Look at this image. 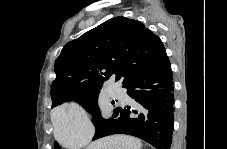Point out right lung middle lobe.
I'll list each match as a JSON object with an SVG mask.
<instances>
[{
  "instance_id": "obj_1",
  "label": "right lung middle lobe",
  "mask_w": 227,
  "mask_h": 149,
  "mask_svg": "<svg viewBox=\"0 0 227 149\" xmlns=\"http://www.w3.org/2000/svg\"><path fill=\"white\" fill-rule=\"evenodd\" d=\"M99 91H100V88L92 90L91 92H89L83 96L73 98L74 100H78L85 108H87L91 113H93L94 118H95L94 119L95 127H98L101 123L106 121L105 119H103L101 117L99 107H98L97 98H98ZM73 99H65L64 101L73 100ZM58 104H60V103H58ZM53 106H55V105H53ZM116 110H117V108L114 110V112ZM55 145H56L55 148L59 149V147L57 146V143Z\"/></svg>"
}]
</instances>
